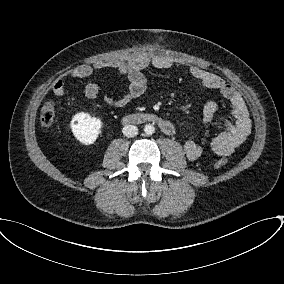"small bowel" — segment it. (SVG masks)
<instances>
[{
	"label": "small bowel",
	"mask_w": 284,
	"mask_h": 284,
	"mask_svg": "<svg viewBox=\"0 0 284 284\" xmlns=\"http://www.w3.org/2000/svg\"><path fill=\"white\" fill-rule=\"evenodd\" d=\"M175 65V60L165 55L140 54L126 60H112L109 62H97L94 65H79L71 70L67 78H60L52 85L55 95H63L66 89L67 79L87 78L92 75L94 69L104 67L115 68L128 81V86L122 96L114 97L104 95V100L111 106L123 107L132 99L140 97L147 88V80L143 71L150 66L167 69ZM190 74L204 87L218 91L230 104L231 118L227 119L218 115V104L208 102L203 109V126L214 121L223 125V130L212 140L211 150L219 156H229L241 145L251 132V119L248 108L238 91L216 73L209 72L199 67H190ZM101 87L96 83H88L85 87V97L89 100L97 98ZM196 135L190 134L184 142V152L191 160H199L204 156V149L196 142Z\"/></svg>",
	"instance_id": "small-bowel-1"
}]
</instances>
